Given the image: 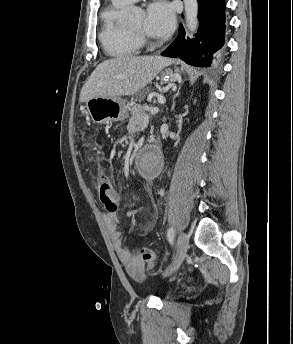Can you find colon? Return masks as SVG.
<instances>
[{"label":"colon","mask_w":293,"mask_h":344,"mask_svg":"<svg viewBox=\"0 0 293 344\" xmlns=\"http://www.w3.org/2000/svg\"><path fill=\"white\" fill-rule=\"evenodd\" d=\"M96 190L101 202L107 210L113 211L117 209L119 202L118 195L107 178L97 180ZM140 257L143 264L148 268H152L155 265L156 256L154 251L143 248L140 251Z\"/></svg>","instance_id":"5ec220e1"}]
</instances>
